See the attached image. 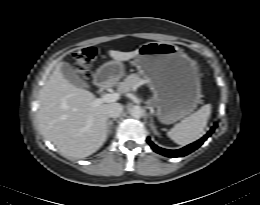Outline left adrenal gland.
Segmentation results:
<instances>
[{
  "instance_id": "a2214340",
  "label": "left adrenal gland",
  "mask_w": 260,
  "mask_h": 205,
  "mask_svg": "<svg viewBox=\"0 0 260 205\" xmlns=\"http://www.w3.org/2000/svg\"><path fill=\"white\" fill-rule=\"evenodd\" d=\"M150 126H151V129L154 132V134H158L157 131H156V128H155V126L153 124V118L152 117H151V124H150Z\"/></svg>"
}]
</instances>
